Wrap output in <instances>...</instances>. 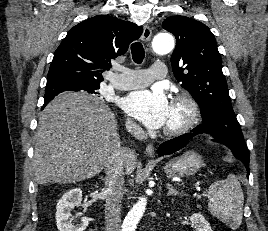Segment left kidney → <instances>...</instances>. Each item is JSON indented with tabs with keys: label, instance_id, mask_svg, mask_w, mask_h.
I'll list each match as a JSON object with an SVG mask.
<instances>
[{
	"label": "left kidney",
	"instance_id": "obj_1",
	"mask_svg": "<svg viewBox=\"0 0 268 231\" xmlns=\"http://www.w3.org/2000/svg\"><path fill=\"white\" fill-rule=\"evenodd\" d=\"M190 222L196 231H213L208 221L199 213L193 214Z\"/></svg>",
	"mask_w": 268,
	"mask_h": 231
}]
</instances>
